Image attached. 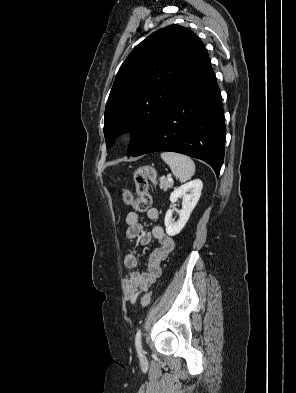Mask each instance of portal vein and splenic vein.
I'll return each instance as SVG.
<instances>
[{"instance_id": "18ae733b", "label": "portal vein and splenic vein", "mask_w": 296, "mask_h": 393, "mask_svg": "<svg viewBox=\"0 0 296 393\" xmlns=\"http://www.w3.org/2000/svg\"><path fill=\"white\" fill-rule=\"evenodd\" d=\"M169 182H173V179L171 177L168 178Z\"/></svg>"}]
</instances>
